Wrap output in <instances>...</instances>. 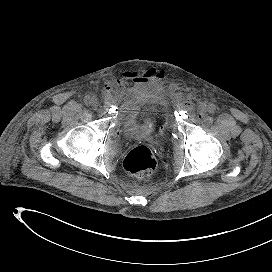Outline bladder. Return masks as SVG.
I'll use <instances>...</instances> for the list:
<instances>
[{"label":"bladder","instance_id":"obj_1","mask_svg":"<svg viewBox=\"0 0 272 272\" xmlns=\"http://www.w3.org/2000/svg\"><path fill=\"white\" fill-rule=\"evenodd\" d=\"M162 116L168 125L171 124V116L168 112H163ZM124 134L128 138H149L154 129L153 121L142 119L139 115L138 107L126 102L121 115Z\"/></svg>","mask_w":272,"mask_h":272}]
</instances>
